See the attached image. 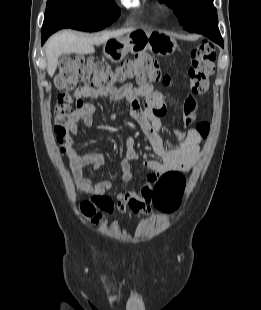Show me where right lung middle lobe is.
I'll use <instances>...</instances> for the list:
<instances>
[{
    "label": "right lung middle lobe",
    "instance_id": "right-lung-middle-lobe-1",
    "mask_svg": "<svg viewBox=\"0 0 261 310\" xmlns=\"http://www.w3.org/2000/svg\"><path fill=\"white\" fill-rule=\"evenodd\" d=\"M120 9L113 0H48L42 30L73 28L98 31L115 21Z\"/></svg>",
    "mask_w": 261,
    "mask_h": 310
}]
</instances>
